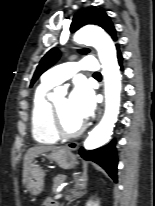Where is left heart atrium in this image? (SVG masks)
Segmentation results:
<instances>
[{"mask_svg": "<svg viewBox=\"0 0 155 206\" xmlns=\"http://www.w3.org/2000/svg\"><path fill=\"white\" fill-rule=\"evenodd\" d=\"M68 100L72 114L80 121L87 119L93 111V94L84 82L76 84Z\"/></svg>", "mask_w": 155, "mask_h": 206, "instance_id": "left-heart-atrium-1", "label": "left heart atrium"}]
</instances>
